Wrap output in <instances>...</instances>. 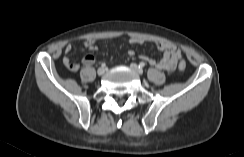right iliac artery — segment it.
Returning a JSON list of instances; mask_svg holds the SVG:
<instances>
[{
	"label": "right iliac artery",
	"mask_w": 244,
	"mask_h": 157,
	"mask_svg": "<svg viewBox=\"0 0 244 157\" xmlns=\"http://www.w3.org/2000/svg\"><path fill=\"white\" fill-rule=\"evenodd\" d=\"M105 66H106V64H105V63H102V64H101V67H105Z\"/></svg>",
	"instance_id": "obj_1"
}]
</instances>
